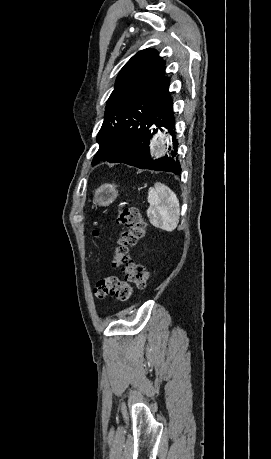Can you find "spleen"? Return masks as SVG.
<instances>
[{
	"mask_svg": "<svg viewBox=\"0 0 271 459\" xmlns=\"http://www.w3.org/2000/svg\"><path fill=\"white\" fill-rule=\"evenodd\" d=\"M147 216L155 228L173 231L179 224L180 206L178 198L170 188L164 184H154L149 188Z\"/></svg>",
	"mask_w": 271,
	"mask_h": 459,
	"instance_id": "1",
	"label": "spleen"
}]
</instances>
